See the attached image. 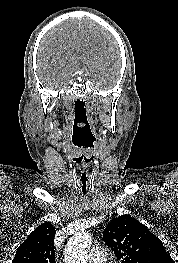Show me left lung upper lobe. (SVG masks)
I'll use <instances>...</instances> for the list:
<instances>
[{"label": "left lung upper lobe", "mask_w": 178, "mask_h": 263, "mask_svg": "<svg viewBox=\"0 0 178 263\" xmlns=\"http://www.w3.org/2000/svg\"><path fill=\"white\" fill-rule=\"evenodd\" d=\"M103 238L121 263H174L162 241L129 215L113 218Z\"/></svg>", "instance_id": "5c2ea615"}]
</instances>
